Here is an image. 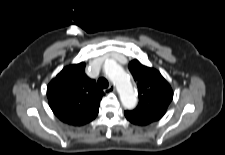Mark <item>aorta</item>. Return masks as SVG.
Here are the masks:
<instances>
[{
  "instance_id": "obj_1",
  "label": "aorta",
  "mask_w": 225,
  "mask_h": 155,
  "mask_svg": "<svg viewBox=\"0 0 225 155\" xmlns=\"http://www.w3.org/2000/svg\"><path fill=\"white\" fill-rule=\"evenodd\" d=\"M106 76L116 85L123 106L132 109L137 104V98L130 78L115 61L108 60L104 63Z\"/></svg>"
}]
</instances>
